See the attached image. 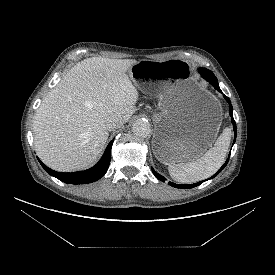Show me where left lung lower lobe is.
Listing matches in <instances>:
<instances>
[{
    "label": "left lung lower lobe",
    "instance_id": "left-lung-lower-lobe-1",
    "mask_svg": "<svg viewBox=\"0 0 275 275\" xmlns=\"http://www.w3.org/2000/svg\"><path fill=\"white\" fill-rule=\"evenodd\" d=\"M199 72L202 75V77L205 78L208 82H210L216 90H218L219 92H222L220 90V88H219L217 78L212 73V71H210L208 69H205V68H200ZM223 96H224L225 100L229 104V114L231 116V121H232V124H233L234 136H235L234 142H235L237 128H236V124H235V121H234V118H233V113H232L233 108H232V105H231V102H230L229 98L227 96H225V95H223ZM228 161H229V158L226 160V162L223 164V166L219 169V171L215 175H213L211 178L215 177L218 173H220L221 170L224 169V167L227 165ZM152 172L157 177V179H159L160 181L164 182L166 180L163 176H161L160 174H158L153 168H152ZM204 181H201V182H198V183H194V184H189V185H179V184H175V183H172V182H170L169 184L171 186L175 187V188L189 189V188H193V187H196V186L200 185Z\"/></svg>",
    "mask_w": 275,
    "mask_h": 275
}]
</instances>
